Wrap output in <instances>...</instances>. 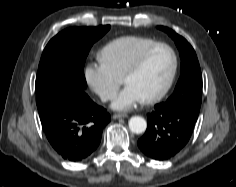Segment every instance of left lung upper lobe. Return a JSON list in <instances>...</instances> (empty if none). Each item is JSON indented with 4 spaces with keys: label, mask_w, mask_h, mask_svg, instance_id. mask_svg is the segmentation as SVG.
I'll use <instances>...</instances> for the list:
<instances>
[{
    "label": "left lung upper lobe",
    "mask_w": 236,
    "mask_h": 187,
    "mask_svg": "<svg viewBox=\"0 0 236 187\" xmlns=\"http://www.w3.org/2000/svg\"><path fill=\"white\" fill-rule=\"evenodd\" d=\"M158 28L175 41L181 58L180 78L174 93L162 104L171 108L188 107L199 112L202 100V74L196 53L188 41L173 30L163 26Z\"/></svg>",
    "instance_id": "left-lung-upper-lobe-1"
}]
</instances>
